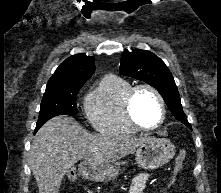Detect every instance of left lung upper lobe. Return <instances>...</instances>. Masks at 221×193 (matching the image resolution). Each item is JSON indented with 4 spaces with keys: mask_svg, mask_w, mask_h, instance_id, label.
Segmentation results:
<instances>
[{
    "mask_svg": "<svg viewBox=\"0 0 221 193\" xmlns=\"http://www.w3.org/2000/svg\"><path fill=\"white\" fill-rule=\"evenodd\" d=\"M119 73L144 81L156 88L175 118L191 128L183 112L174 78L159 57L146 50L124 51L121 56Z\"/></svg>",
    "mask_w": 221,
    "mask_h": 193,
    "instance_id": "5c2ea615",
    "label": "left lung upper lobe"
}]
</instances>
